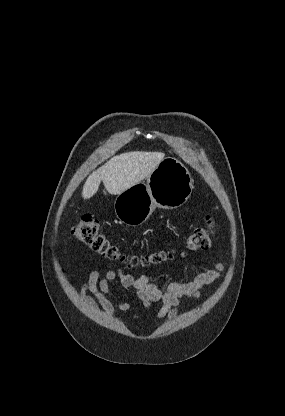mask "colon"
<instances>
[{
    "instance_id": "1",
    "label": "colon",
    "mask_w": 285,
    "mask_h": 416,
    "mask_svg": "<svg viewBox=\"0 0 285 416\" xmlns=\"http://www.w3.org/2000/svg\"><path fill=\"white\" fill-rule=\"evenodd\" d=\"M216 231V224L212 218L207 219L205 227L196 228L187 238L185 247L193 252L209 248ZM73 236L91 250L112 261H125L133 266L138 263L136 257L126 259L119 248L112 244L102 233L98 220L91 215H84L72 230ZM168 254L155 252L147 255L144 260L148 264H159L167 259Z\"/></svg>"
}]
</instances>
